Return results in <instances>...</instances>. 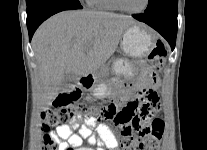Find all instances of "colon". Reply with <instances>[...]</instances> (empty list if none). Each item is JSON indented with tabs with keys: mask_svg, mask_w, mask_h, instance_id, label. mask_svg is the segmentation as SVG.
I'll return each instance as SVG.
<instances>
[{
	"mask_svg": "<svg viewBox=\"0 0 207 150\" xmlns=\"http://www.w3.org/2000/svg\"><path fill=\"white\" fill-rule=\"evenodd\" d=\"M167 57V50L162 42H158L148 55L150 70L148 80L151 86L141 87L137 99H130L120 110L111 103L106 106H94L79 103L69 107L70 100H53V107L42 114V129L48 131L65 124L74 114L87 115L89 120H112L120 127V150H160V142L164 133V122L157 116L160 99V77ZM72 97L65 94L64 98ZM42 150H61L58 140L45 136ZM70 150V148H67Z\"/></svg>",
	"mask_w": 207,
	"mask_h": 150,
	"instance_id": "obj_1",
	"label": "colon"
}]
</instances>
